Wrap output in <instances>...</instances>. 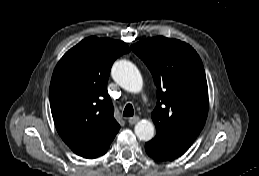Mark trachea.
<instances>
[{
	"label": "trachea",
	"instance_id": "1",
	"mask_svg": "<svg viewBox=\"0 0 259 176\" xmlns=\"http://www.w3.org/2000/svg\"><path fill=\"white\" fill-rule=\"evenodd\" d=\"M134 115V109L133 106L131 104H127L124 108L123 111V116L125 117H131Z\"/></svg>",
	"mask_w": 259,
	"mask_h": 176
}]
</instances>
